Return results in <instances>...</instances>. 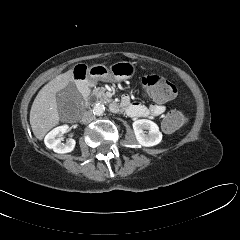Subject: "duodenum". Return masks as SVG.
<instances>
[{"label": "duodenum", "instance_id": "obj_1", "mask_svg": "<svg viewBox=\"0 0 240 240\" xmlns=\"http://www.w3.org/2000/svg\"><path fill=\"white\" fill-rule=\"evenodd\" d=\"M89 84H90V81L86 76L77 77L78 90L80 91V93L84 98H87L90 93ZM110 109L113 112H117L120 110V105L118 103L113 102L110 104Z\"/></svg>", "mask_w": 240, "mask_h": 240}]
</instances>
